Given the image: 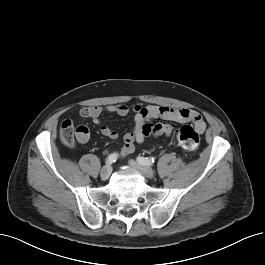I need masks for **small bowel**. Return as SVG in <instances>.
<instances>
[{"label": "small bowel", "instance_id": "1", "mask_svg": "<svg viewBox=\"0 0 265 265\" xmlns=\"http://www.w3.org/2000/svg\"><path fill=\"white\" fill-rule=\"evenodd\" d=\"M104 111L120 116H126L130 112V109L126 105L119 104L109 105L105 108L90 106L84 107L80 110L81 117L89 118L96 126L100 128V131L104 136L110 138L111 140H115L118 137L117 131L106 125H103L101 122L100 116ZM132 111L135 114L134 125L132 131L124 135V142L119 152L121 157L132 154L135 150V143H142L151 135H171L172 127L170 125H153V119L162 118L167 121L192 122L200 132H204L206 129V123L202 116L197 111L188 108H175L156 105L141 107L139 105H135ZM76 137L79 143H86L90 137L89 128L85 125H79L76 128Z\"/></svg>", "mask_w": 265, "mask_h": 265}]
</instances>
